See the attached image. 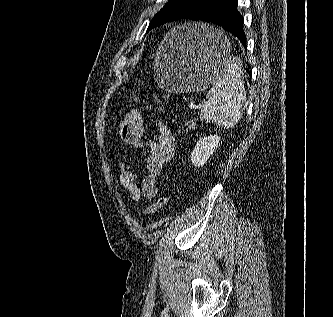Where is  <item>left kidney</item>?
Listing matches in <instances>:
<instances>
[{
	"instance_id": "left-kidney-1",
	"label": "left kidney",
	"mask_w": 333,
	"mask_h": 317,
	"mask_svg": "<svg viewBox=\"0 0 333 317\" xmlns=\"http://www.w3.org/2000/svg\"><path fill=\"white\" fill-rule=\"evenodd\" d=\"M220 137L207 136L201 138L191 153V162L194 166H203L218 147Z\"/></svg>"
}]
</instances>
